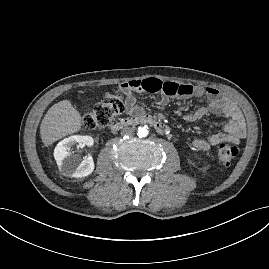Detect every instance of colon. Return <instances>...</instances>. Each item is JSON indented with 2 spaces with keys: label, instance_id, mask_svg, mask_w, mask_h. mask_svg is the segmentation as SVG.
<instances>
[{
  "label": "colon",
  "instance_id": "5ec220e1",
  "mask_svg": "<svg viewBox=\"0 0 269 269\" xmlns=\"http://www.w3.org/2000/svg\"><path fill=\"white\" fill-rule=\"evenodd\" d=\"M127 92L123 89L108 93L89 112L83 115L82 124L86 129L93 130L107 126L116 116L124 111ZM239 149L229 142H221L216 150L217 160L230 164L238 155Z\"/></svg>",
  "mask_w": 269,
  "mask_h": 269
}]
</instances>
